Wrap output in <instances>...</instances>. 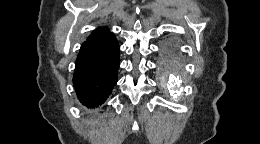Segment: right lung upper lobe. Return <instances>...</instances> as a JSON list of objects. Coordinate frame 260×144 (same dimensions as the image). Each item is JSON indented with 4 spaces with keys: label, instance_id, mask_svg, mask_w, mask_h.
<instances>
[{
    "label": "right lung upper lobe",
    "instance_id": "obj_1",
    "mask_svg": "<svg viewBox=\"0 0 260 144\" xmlns=\"http://www.w3.org/2000/svg\"><path fill=\"white\" fill-rule=\"evenodd\" d=\"M110 31L108 28L106 27H100V28H97L96 30H94L90 36L87 38V40L89 39H94V38H97V37H100V36H103V35H106V34H109Z\"/></svg>",
    "mask_w": 260,
    "mask_h": 144
}]
</instances>
